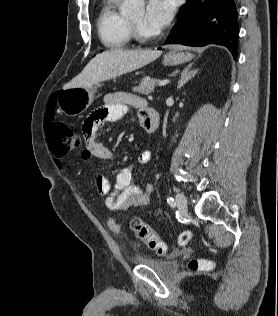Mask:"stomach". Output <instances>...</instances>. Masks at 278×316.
Wrapping results in <instances>:
<instances>
[{"mask_svg":"<svg viewBox=\"0 0 278 316\" xmlns=\"http://www.w3.org/2000/svg\"><path fill=\"white\" fill-rule=\"evenodd\" d=\"M193 57L192 53L170 52L164 56L163 62L165 65H178L192 60ZM98 86L63 89L58 95L59 109L68 116L83 113L94 101Z\"/></svg>","mask_w":278,"mask_h":316,"instance_id":"obj_1","label":"stomach"}]
</instances>
